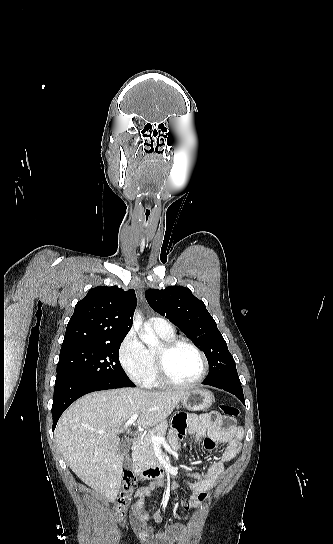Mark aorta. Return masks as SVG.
<instances>
[{"instance_id":"obj_1","label":"aorta","mask_w":333,"mask_h":544,"mask_svg":"<svg viewBox=\"0 0 333 544\" xmlns=\"http://www.w3.org/2000/svg\"><path fill=\"white\" fill-rule=\"evenodd\" d=\"M142 318L141 315L138 312H135L134 314V328L136 331L142 330ZM140 338L142 341L151 347H156L159 345V340L157 336L151 331L149 333L140 332Z\"/></svg>"}]
</instances>
